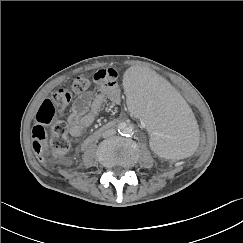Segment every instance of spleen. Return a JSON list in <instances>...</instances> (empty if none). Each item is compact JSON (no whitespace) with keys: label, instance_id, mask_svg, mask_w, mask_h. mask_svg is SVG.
Here are the masks:
<instances>
[{"label":"spleen","instance_id":"3e777b00","mask_svg":"<svg viewBox=\"0 0 243 243\" xmlns=\"http://www.w3.org/2000/svg\"><path fill=\"white\" fill-rule=\"evenodd\" d=\"M123 97L143 122L153 150L165 159L188 156L199 140V129L186 100L151 69H138L125 79Z\"/></svg>","mask_w":243,"mask_h":243}]
</instances>
